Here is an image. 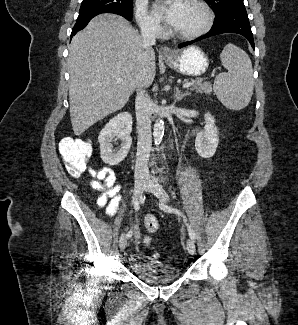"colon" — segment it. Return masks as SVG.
Masks as SVG:
<instances>
[{
  "label": "colon",
  "instance_id": "obj_1",
  "mask_svg": "<svg viewBox=\"0 0 298 325\" xmlns=\"http://www.w3.org/2000/svg\"><path fill=\"white\" fill-rule=\"evenodd\" d=\"M79 148L81 150L80 153L68 151L64 154L66 168L68 172L74 177H78L83 172L90 169L88 164V160L91 154L90 146L88 143L83 142ZM144 226L147 232L154 233L159 228L158 219L156 216L149 214L144 219ZM146 242H148V239H146Z\"/></svg>",
  "mask_w": 298,
  "mask_h": 325
}]
</instances>
